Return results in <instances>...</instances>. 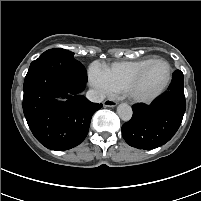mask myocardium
Here are the masks:
<instances>
[{
  "mask_svg": "<svg viewBox=\"0 0 201 201\" xmlns=\"http://www.w3.org/2000/svg\"><path fill=\"white\" fill-rule=\"evenodd\" d=\"M156 62H163L167 65L168 73L167 78L165 82L153 93L148 95H141L136 92V86L139 83L140 79L142 78L143 74L146 72V70ZM172 79V67L170 63L163 59V58H154L151 61H149L147 64H145L126 84L124 88L125 95L133 102L137 103H148L153 100H155L157 97H159L170 85Z\"/></svg>",
  "mask_w": 201,
  "mask_h": 201,
  "instance_id": "f54148a6",
  "label": "myocardium"
}]
</instances>
